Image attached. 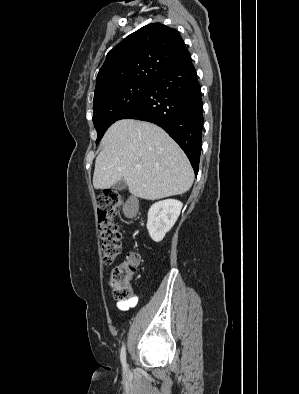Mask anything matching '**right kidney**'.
<instances>
[{"label": "right kidney", "instance_id": "right-kidney-1", "mask_svg": "<svg viewBox=\"0 0 299 394\" xmlns=\"http://www.w3.org/2000/svg\"><path fill=\"white\" fill-rule=\"evenodd\" d=\"M182 202L166 199L154 203L148 211L147 229L151 239L160 242L178 219Z\"/></svg>", "mask_w": 299, "mask_h": 394}]
</instances>
